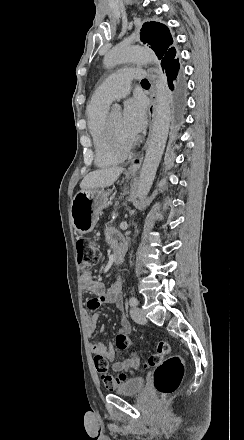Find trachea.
<instances>
[{
    "instance_id": "obj_1",
    "label": "trachea",
    "mask_w": 244,
    "mask_h": 440,
    "mask_svg": "<svg viewBox=\"0 0 244 440\" xmlns=\"http://www.w3.org/2000/svg\"><path fill=\"white\" fill-rule=\"evenodd\" d=\"M149 83L148 80L146 78H143V80L141 81V84H146Z\"/></svg>"
}]
</instances>
